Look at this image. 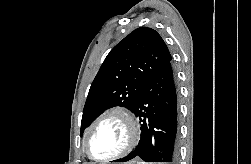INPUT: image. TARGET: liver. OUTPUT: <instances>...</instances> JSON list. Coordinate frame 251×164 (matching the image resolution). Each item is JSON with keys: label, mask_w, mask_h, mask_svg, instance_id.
I'll list each match as a JSON object with an SVG mask.
<instances>
[{"label": "liver", "mask_w": 251, "mask_h": 164, "mask_svg": "<svg viewBox=\"0 0 251 164\" xmlns=\"http://www.w3.org/2000/svg\"><path fill=\"white\" fill-rule=\"evenodd\" d=\"M130 163H133V161H131V162H127V163H124V164H130Z\"/></svg>", "instance_id": "6515ba94"}]
</instances>
